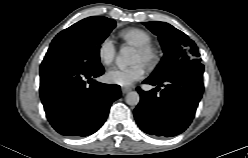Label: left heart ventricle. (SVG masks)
Returning <instances> with one entry per match:
<instances>
[{"mask_svg":"<svg viewBox=\"0 0 248 158\" xmlns=\"http://www.w3.org/2000/svg\"><path fill=\"white\" fill-rule=\"evenodd\" d=\"M133 62L134 63H138V62L144 63V57H143V55L141 53H139L138 51H136L135 52V55H134Z\"/></svg>","mask_w":248,"mask_h":158,"instance_id":"obj_1","label":"left heart ventricle"}]
</instances>
